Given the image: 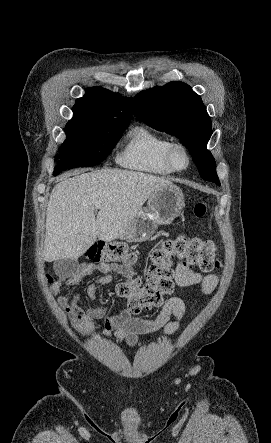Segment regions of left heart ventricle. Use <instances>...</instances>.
<instances>
[{"label":"left heart ventricle","instance_id":"1","mask_svg":"<svg viewBox=\"0 0 271 443\" xmlns=\"http://www.w3.org/2000/svg\"><path fill=\"white\" fill-rule=\"evenodd\" d=\"M174 159L178 167L185 168L188 165V157L185 151L177 148L174 153Z\"/></svg>","mask_w":271,"mask_h":443}]
</instances>
